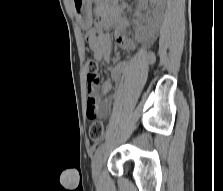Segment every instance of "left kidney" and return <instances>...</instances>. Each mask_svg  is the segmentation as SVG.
<instances>
[{"instance_id":"left-kidney-1","label":"left kidney","mask_w":223,"mask_h":191,"mask_svg":"<svg viewBox=\"0 0 223 191\" xmlns=\"http://www.w3.org/2000/svg\"><path fill=\"white\" fill-rule=\"evenodd\" d=\"M165 0H140L139 7L146 8L151 6L153 8L152 20L147 27H140L136 30V35L140 38H151L153 37L159 27V23L162 18Z\"/></svg>"}]
</instances>
